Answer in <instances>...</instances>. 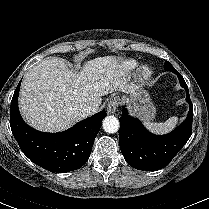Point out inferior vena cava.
<instances>
[{
	"label": "inferior vena cava",
	"mask_w": 209,
	"mask_h": 209,
	"mask_svg": "<svg viewBox=\"0 0 209 209\" xmlns=\"http://www.w3.org/2000/svg\"><path fill=\"white\" fill-rule=\"evenodd\" d=\"M97 111V107L88 105L84 108V112L86 115H91Z\"/></svg>",
	"instance_id": "602c4592"
}]
</instances>
